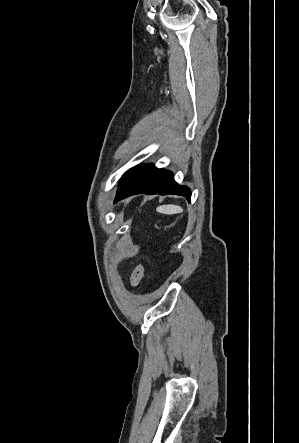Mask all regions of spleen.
Segmentation results:
<instances>
[{
    "instance_id": "1",
    "label": "spleen",
    "mask_w": 299,
    "mask_h": 443,
    "mask_svg": "<svg viewBox=\"0 0 299 443\" xmlns=\"http://www.w3.org/2000/svg\"><path fill=\"white\" fill-rule=\"evenodd\" d=\"M156 211L162 214H177V213H182L183 209L182 207L178 206V205H162V206H158L156 208Z\"/></svg>"
}]
</instances>
